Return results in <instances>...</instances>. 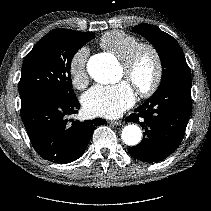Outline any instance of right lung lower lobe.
<instances>
[{"mask_svg": "<svg viewBox=\"0 0 211 211\" xmlns=\"http://www.w3.org/2000/svg\"><path fill=\"white\" fill-rule=\"evenodd\" d=\"M79 108L76 97L64 100L40 96L21 104L25 129L42 158L65 164L82 156L95 127L105 124L106 120H68V116L77 113Z\"/></svg>", "mask_w": 211, "mask_h": 211, "instance_id": "right-lung-lower-lobe-1", "label": "right lung lower lobe"}]
</instances>
